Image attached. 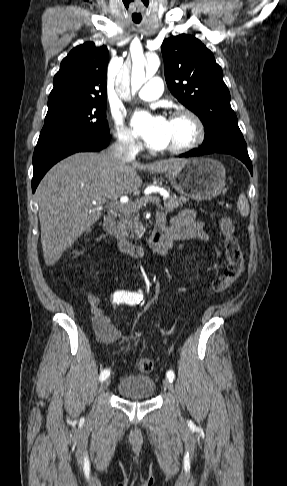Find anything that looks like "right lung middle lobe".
I'll list each match as a JSON object with an SVG mask.
<instances>
[{"label":"right lung middle lobe","instance_id":"right-lung-middle-lobe-1","mask_svg":"<svg viewBox=\"0 0 287 486\" xmlns=\"http://www.w3.org/2000/svg\"><path fill=\"white\" fill-rule=\"evenodd\" d=\"M109 135L106 99L67 102L48 107L37 146L100 140Z\"/></svg>","mask_w":287,"mask_h":486}]
</instances>
